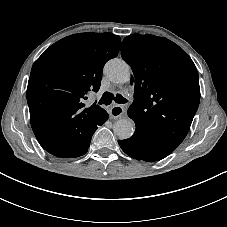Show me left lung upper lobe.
<instances>
[{
  "label": "left lung upper lobe",
  "mask_w": 227,
  "mask_h": 227,
  "mask_svg": "<svg viewBox=\"0 0 227 227\" xmlns=\"http://www.w3.org/2000/svg\"><path fill=\"white\" fill-rule=\"evenodd\" d=\"M121 56L133 71L134 101L128 116L136 130L175 150L186 137L200 102L193 61L174 42L150 34L125 37Z\"/></svg>",
  "instance_id": "1"
}]
</instances>
